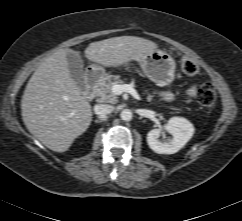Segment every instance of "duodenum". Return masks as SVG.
Returning <instances> with one entry per match:
<instances>
[{
    "label": "duodenum",
    "instance_id": "1",
    "mask_svg": "<svg viewBox=\"0 0 242 221\" xmlns=\"http://www.w3.org/2000/svg\"><path fill=\"white\" fill-rule=\"evenodd\" d=\"M101 79L100 72L90 70L87 74V89L85 96L87 98H93L96 94V84Z\"/></svg>",
    "mask_w": 242,
    "mask_h": 221
}]
</instances>
